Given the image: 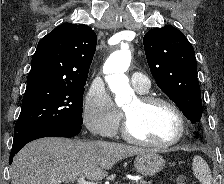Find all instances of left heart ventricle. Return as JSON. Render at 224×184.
<instances>
[{
    "instance_id": "obj_1",
    "label": "left heart ventricle",
    "mask_w": 224,
    "mask_h": 184,
    "mask_svg": "<svg viewBox=\"0 0 224 184\" xmlns=\"http://www.w3.org/2000/svg\"><path fill=\"white\" fill-rule=\"evenodd\" d=\"M124 111L130 116L132 132L141 139L161 144L173 139L178 132V119L164 104L142 107L136 98Z\"/></svg>"
}]
</instances>
